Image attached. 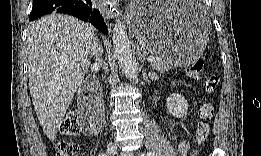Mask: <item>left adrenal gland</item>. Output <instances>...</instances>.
<instances>
[{
  "label": "left adrenal gland",
  "instance_id": "1",
  "mask_svg": "<svg viewBox=\"0 0 261 156\" xmlns=\"http://www.w3.org/2000/svg\"><path fill=\"white\" fill-rule=\"evenodd\" d=\"M138 55H139V59L141 60V62L144 63L145 57H144L143 53L139 51Z\"/></svg>",
  "mask_w": 261,
  "mask_h": 156
}]
</instances>
